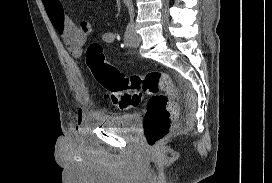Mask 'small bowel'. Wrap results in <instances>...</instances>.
Here are the masks:
<instances>
[{
	"label": "small bowel",
	"instance_id": "c3829d8e",
	"mask_svg": "<svg viewBox=\"0 0 272 183\" xmlns=\"http://www.w3.org/2000/svg\"><path fill=\"white\" fill-rule=\"evenodd\" d=\"M47 15L56 31L61 35L68 51L74 57H80L87 39L92 33V26L87 21H81L76 24L64 12L62 0H42ZM119 39V34L113 31L103 32L102 42L112 44ZM75 121L78 124L82 122V113L75 112Z\"/></svg>",
	"mask_w": 272,
	"mask_h": 183
}]
</instances>
